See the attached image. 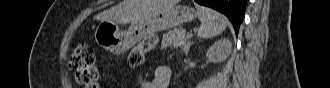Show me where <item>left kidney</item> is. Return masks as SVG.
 Returning <instances> with one entry per match:
<instances>
[{"label": "left kidney", "mask_w": 330, "mask_h": 88, "mask_svg": "<svg viewBox=\"0 0 330 88\" xmlns=\"http://www.w3.org/2000/svg\"><path fill=\"white\" fill-rule=\"evenodd\" d=\"M232 51V43L229 39L216 41L207 51L206 57L209 61L218 63L225 61Z\"/></svg>", "instance_id": "left-kidney-1"}]
</instances>
